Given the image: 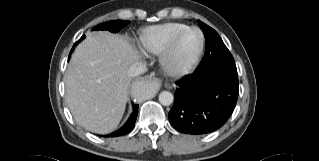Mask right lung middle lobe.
Instances as JSON below:
<instances>
[{
	"instance_id": "dd1d6c3e",
	"label": "right lung middle lobe",
	"mask_w": 319,
	"mask_h": 161,
	"mask_svg": "<svg viewBox=\"0 0 319 161\" xmlns=\"http://www.w3.org/2000/svg\"><path fill=\"white\" fill-rule=\"evenodd\" d=\"M128 21L124 20H113L109 21L103 24H99L96 27L93 28V30H109L110 32L117 33L121 28H123ZM84 38V36L80 39V41ZM79 42H76L75 45H77ZM74 45V47H75ZM73 47V49H74ZM71 50V52L73 51Z\"/></svg>"
}]
</instances>
